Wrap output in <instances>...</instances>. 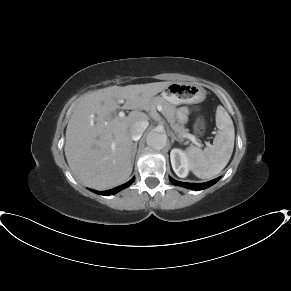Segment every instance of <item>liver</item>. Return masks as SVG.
<instances>
[{"mask_svg": "<svg viewBox=\"0 0 291 291\" xmlns=\"http://www.w3.org/2000/svg\"><path fill=\"white\" fill-rule=\"evenodd\" d=\"M172 82L111 86L86 95L73 111L66 129L65 155L73 174L85 185L104 190L124 183L132 172L134 143L129 128L147 121L151 99ZM133 110L115 115L119 101Z\"/></svg>", "mask_w": 291, "mask_h": 291, "instance_id": "6515ba94", "label": "liver"}]
</instances>
